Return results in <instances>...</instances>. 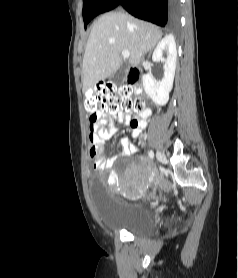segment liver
Masks as SVG:
<instances>
[{
  "label": "liver",
  "instance_id": "obj_1",
  "mask_svg": "<svg viewBox=\"0 0 238 278\" xmlns=\"http://www.w3.org/2000/svg\"><path fill=\"white\" fill-rule=\"evenodd\" d=\"M162 37L159 28L122 12H109L92 26L82 64L83 91L104 81L122 65V51L130 52L129 62L137 67Z\"/></svg>",
  "mask_w": 238,
  "mask_h": 278
}]
</instances>
